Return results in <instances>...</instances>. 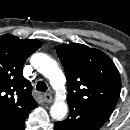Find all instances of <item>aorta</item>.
<instances>
[{
	"mask_svg": "<svg viewBox=\"0 0 130 130\" xmlns=\"http://www.w3.org/2000/svg\"><path fill=\"white\" fill-rule=\"evenodd\" d=\"M32 66L49 79L51 86L56 90H65L66 78L57 62L44 53H35L30 60ZM58 95L51 106L50 114L53 119L62 120L68 111L65 96Z\"/></svg>",
	"mask_w": 130,
	"mask_h": 130,
	"instance_id": "obj_1",
	"label": "aorta"
}]
</instances>
